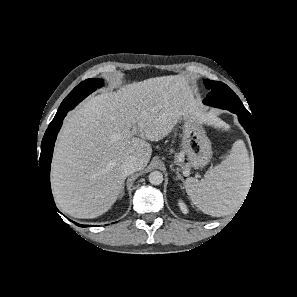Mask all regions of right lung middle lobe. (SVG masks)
Segmentation results:
<instances>
[{
	"label": "right lung middle lobe",
	"mask_w": 297,
	"mask_h": 297,
	"mask_svg": "<svg viewBox=\"0 0 297 297\" xmlns=\"http://www.w3.org/2000/svg\"><path fill=\"white\" fill-rule=\"evenodd\" d=\"M102 85V79H87L81 82L63 100L58 109V112L56 113L50 125L53 124L59 114L68 112L69 110L73 109L80 101H82L85 97L92 93L96 88H100Z\"/></svg>",
	"instance_id": "dd1d6c3e"
}]
</instances>
